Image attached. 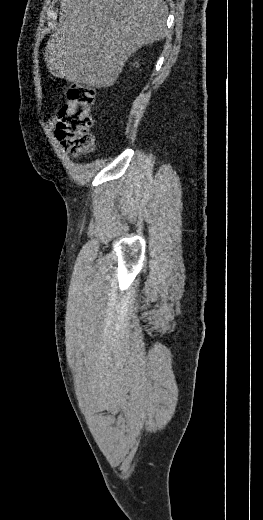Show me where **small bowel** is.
Wrapping results in <instances>:
<instances>
[{
	"mask_svg": "<svg viewBox=\"0 0 263 520\" xmlns=\"http://www.w3.org/2000/svg\"><path fill=\"white\" fill-rule=\"evenodd\" d=\"M54 122H55V119L52 120V121H50V122H49V125H50V126H53Z\"/></svg>",
	"mask_w": 263,
	"mask_h": 520,
	"instance_id": "c3829d8e",
	"label": "small bowel"
}]
</instances>
